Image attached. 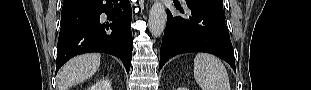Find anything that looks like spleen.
<instances>
[{
  "instance_id": "3e777b00",
  "label": "spleen",
  "mask_w": 311,
  "mask_h": 90,
  "mask_svg": "<svg viewBox=\"0 0 311 90\" xmlns=\"http://www.w3.org/2000/svg\"><path fill=\"white\" fill-rule=\"evenodd\" d=\"M194 78L202 90H230L224 64L211 54L199 53L195 56Z\"/></svg>"
}]
</instances>
